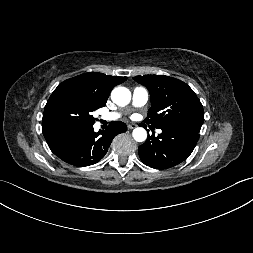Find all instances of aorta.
<instances>
[{
  "label": "aorta",
  "instance_id": "1",
  "mask_svg": "<svg viewBox=\"0 0 253 253\" xmlns=\"http://www.w3.org/2000/svg\"><path fill=\"white\" fill-rule=\"evenodd\" d=\"M112 101L118 106H126L131 100V93L125 87H116L111 93ZM133 138L137 142H143L147 138V132L144 128L138 127L133 130Z\"/></svg>",
  "mask_w": 253,
  "mask_h": 253
}]
</instances>
